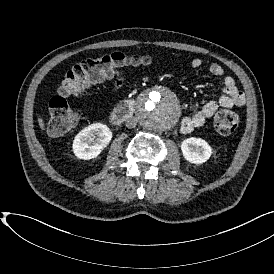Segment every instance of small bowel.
<instances>
[{
    "label": "small bowel",
    "mask_w": 274,
    "mask_h": 274,
    "mask_svg": "<svg viewBox=\"0 0 274 274\" xmlns=\"http://www.w3.org/2000/svg\"><path fill=\"white\" fill-rule=\"evenodd\" d=\"M203 65L201 58H194L191 61V67L199 69ZM209 72L216 77H222L224 70L218 63H211L208 67ZM125 82V75L120 73L114 82L111 84L112 90L120 89ZM223 94L216 100H210L201 105L191 115L183 118L180 128L185 134L191 133L194 129L203 126L206 121L213 116L219 108H232L242 106L246 102V96L236 85L235 80L230 76H225L222 79Z\"/></svg>",
    "instance_id": "obj_1"
}]
</instances>
